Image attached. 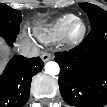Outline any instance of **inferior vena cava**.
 <instances>
[{"mask_svg":"<svg viewBox=\"0 0 107 107\" xmlns=\"http://www.w3.org/2000/svg\"><path fill=\"white\" fill-rule=\"evenodd\" d=\"M18 53L24 57L32 58L39 56V48L31 43H22L18 46Z\"/></svg>","mask_w":107,"mask_h":107,"instance_id":"602c4592","label":"inferior vena cava"}]
</instances>
